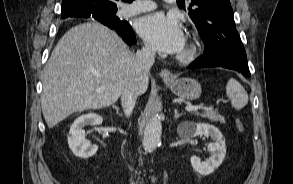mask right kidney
<instances>
[{
    "label": "right kidney",
    "instance_id": "1",
    "mask_svg": "<svg viewBox=\"0 0 293 184\" xmlns=\"http://www.w3.org/2000/svg\"><path fill=\"white\" fill-rule=\"evenodd\" d=\"M102 122L103 118L96 113L84 114L74 121L70 127L68 145L75 156L87 159L97 152L98 147L86 140L84 127L100 125Z\"/></svg>",
    "mask_w": 293,
    "mask_h": 184
}]
</instances>
